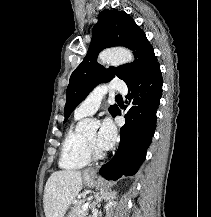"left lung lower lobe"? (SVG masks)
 I'll list each match as a JSON object with an SVG mask.
<instances>
[{"instance_id": "1", "label": "left lung lower lobe", "mask_w": 211, "mask_h": 217, "mask_svg": "<svg viewBox=\"0 0 211 217\" xmlns=\"http://www.w3.org/2000/svg\"><path fill=\"white\" fill-rule=\"evenodd\" d=\"M160 65L149 69L128 84L125 125L120 130V145L113 159L99 173L107 180L136 174L146 158V151L155 131L156 110L162 95ZM121 115V110L114 116Z\"/></svg>"}]
</instances>
